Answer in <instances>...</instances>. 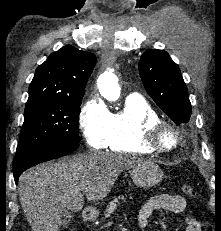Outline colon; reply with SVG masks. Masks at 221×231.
<instances>
[{"label": "colon", "mask_w": 221, "mask_h": 231, "mask_svg": "<svg viewBox=\"0 0 221 231\" xmlns=\"http://www.w3.org/2000/svg\"><path fill=\"white\" fill-rule=\"evenodd\" d=\"M181 191L183 194H185L186 196H189V197H194L196 194L193 187L191 185H188V184H182L181 185Z\"/></svg>", "instance_id": "obj_1"}]
</instances>
